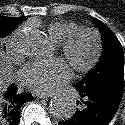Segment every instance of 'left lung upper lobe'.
<instances>
[{
	"mask_svg": "<svg viewBox=\"0 0 125 125\" xmlns=\"http://www.w3.org/2000/svg\"><path fill=\"white\" fill-rule=\"evenodd\" d=\"M104 52L98 65L77 83L84 92L121 85L124 86L123 48L114 32L104 24H99Z\"/></svg>",
	"mask_w": 125,
	"mask_h": 125,
	"instance_id": "obj_1",
	"label": "left lung upper lobe"
}]
</instances>
